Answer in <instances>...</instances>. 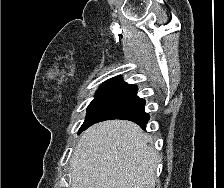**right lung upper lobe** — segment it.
Here are the masks:
<instances>
[{
  "label": "right lung upper lobe",
  "instance_id": "cb5924a9",
  "mask_svg": "<svg viewBox=\"0 0 224 188\" xmlns=\"http://www.w3.org/2000/svg\"><path fill=\"white\" fill-rule=\"evenodd\" d=\"M110 80H121V78L120 77H115V78H112Z\"/></svg>",
  "mask_w": 224,
  "mask_h": 188
}]
</instances>
